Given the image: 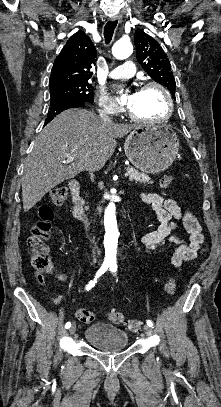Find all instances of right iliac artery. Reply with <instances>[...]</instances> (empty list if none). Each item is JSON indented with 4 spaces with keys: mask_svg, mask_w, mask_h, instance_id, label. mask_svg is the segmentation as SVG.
Masks as SVG:
<instances>
[{
    "mask_svg": "<svg viewBox=\"0 0 221 407\" xmlns=\"http://www.w3.org/2000/svg\"><path fill=\"white\" fill-rule=\"evenodd\" d=\"M109 267H110L109 264H103V265L101 266V268L98 270V272H97V274H96V276H95V279H94V280H91V281L87 284V286L85 287V289L88 291V290H90L92 287H94V286H95V283L97 282V278H99L102 274H104V273L107 271V269H108ZM70 327H71V323H70V322H67L66 325H65V328L68 329V328H70Z\"/></svg>",
    "mask_w": 221,
    "mask_h": 407,
    "instance_id": "82829eb1",
    "label": "right iliac artery"
}]
</instances>
